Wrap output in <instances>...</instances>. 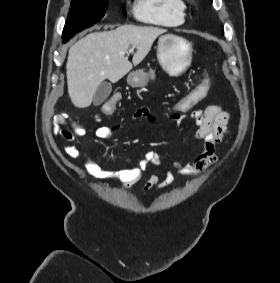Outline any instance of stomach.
Returning <instances> with one entry per match:
<instances>
[{
  "mask_svg": "<svg viewBox=\"0 0 280 283\" xmlns=\"http://www.w3.org/2000/svg\"><path fill=\"white\" fill-rule=\"evenodd\" d=\"M157 59L170 76L178 77L186 72L192 61V46L185 38L169 33L158 40ZM155 78L153 70H136L128 75L127 82L133 87H144Z\"/></svg>",
  "mask_w": 280,
  "mask_h": 283,
  "instance_id": "1",
  "label": "stomach"
}]
</instances>
